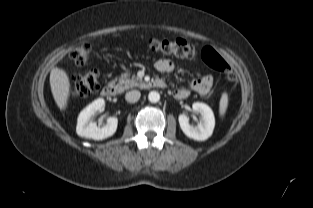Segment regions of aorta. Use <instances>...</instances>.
I'll list each match as a JSON object with an SVG mask.
<instances>
[{"instance_id":"obj_1","label":"aorta","mask_w":313,"mask_h":208,"mask_svg":"<svg viewBox=\"0 0 313 208\" xmlns=\"http://www.w3.org/2000/svg\"><path fill=\"white\" fill-rule=\"evenodd\" d=\"M148 99L151 103H157L160 100V94L157 91H151L148 95Z\"/></svg>"}]
</instances>
